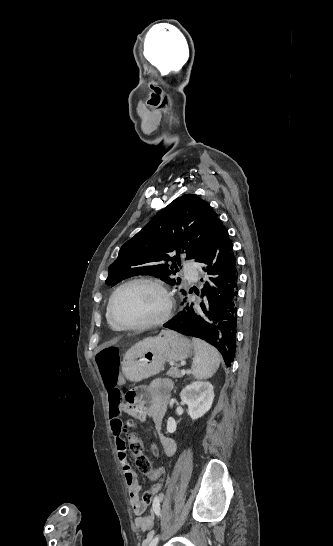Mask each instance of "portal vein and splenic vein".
<instances>
[{"label":"portal vein and splenic vein","instance_id":"18ae733b","mask_svg":"<svg viewBox=\"0 0 333 546\" xmlns=\"http://www.w3.org/2000/svg\"><path fill=\"white\" fill-rule=\"evenodd\" d=\"M186 371L185 370H181V375H185Z\"/></svg>","mask_w":333,"mask_h":546}]
</instances>
